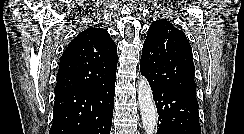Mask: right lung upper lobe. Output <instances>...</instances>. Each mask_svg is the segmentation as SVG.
<instances>
[{
    "label": "right lung upper lobe",
    "mask_w": 244,
    "mask_h": 134,
    "mask_svg": "<svg viewBox=\"0 0 244 134\" xmlns=\"http://www.w3.org/2000/svg\"><path fill=\"white\" fill-rule=\"evenodd\" d=\"M117 46L102 28L82 31L61 56L55 94L104 84L116 76Z\"/></svg>",
    "instance_id": "cb5924a9"
}]
</instances>
